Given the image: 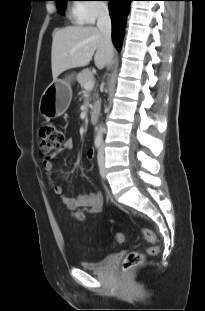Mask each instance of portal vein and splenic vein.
Instances as JSON below:
<instances>
[{"label": "portal vein and splenic vein", "instance_id": "1", "mask_svg": "<svg viewBox=\"0 0 205 311\" xmlns=\"http://www.w3.org/2000/svg\"><path fill=\"white\" fill-rule=\"evenodd\" d=\"M94 87V81L90 80L85 83L84 88L85 90H91Z\"/></svg>", "mask_w": 205, "mask_h": 311}]
</instances>
